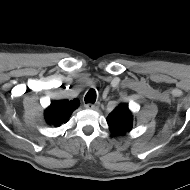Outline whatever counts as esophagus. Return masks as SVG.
I'll use <instances>...</instances> for the list:
<instances>
[{
	"label": "esophagus",
	"instance_id": "obj_1",
	"mask_svg": "<svg viewBox=\"0 0 190 190\" xmlns=\"http://www.w3.org/2000/svg\"><path fill=\"white\" fill-rule=\"evenodd\" d=\"M85 107L87 109H91V110H97L99 108V105L98 104H92V103H88L85 105Z\"/></svg>",
	"mask_w": 190,
	"mask_h": 190
}]
</instances>
